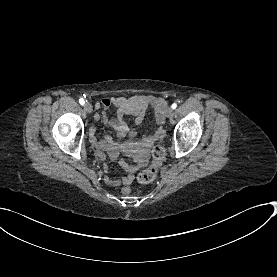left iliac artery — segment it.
<instances>
[{"label": "left iliac artery", "mask_w": 277, "mask_h": 277, "mask_svg": "<svg viewBox=\"0 0 277 277\" xmlns=\"http://www.w3.org/2000/svg\"><path fill=\"white\" fill-rule=\"evenodd\" d=\"M177 107V104L176 103H173L172 104V109H175Z\"/></svg>", "instance_id": "left-iliac-artery-1"}]
</instances>
